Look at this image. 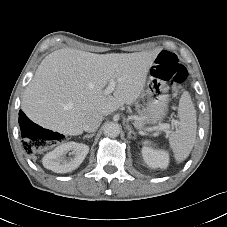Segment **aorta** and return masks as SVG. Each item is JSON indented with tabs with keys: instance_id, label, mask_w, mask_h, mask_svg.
Masks as SVG:
<instances>
[{
	"instance_id": "762f6f07",
	"label": "aorta",
	"mask_w": 227,
	"mask_h": 227,
	"mask_svg": "<svg viewBox=\"0 0 227 227\" xmlns=\"http://www.w3.org/2000/svg\"><path fill=\"white\" fill-rule=\"evenodd\" d=\"M121 132V126L115 122H109L104 125L103 133L110 138L117 137Z\"/></svg>"
}]
</instances>
